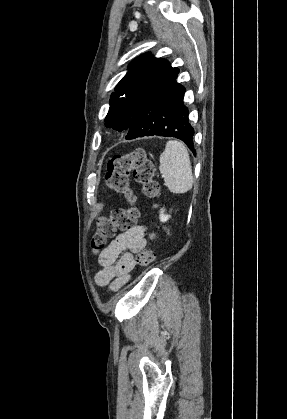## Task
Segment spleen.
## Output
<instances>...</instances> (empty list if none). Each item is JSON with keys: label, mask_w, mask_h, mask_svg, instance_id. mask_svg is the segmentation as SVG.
<instances>
[{"label": "spleen", "mask_w": 287, "mask_h": 419, "mask_svg": "<svg viewBox=\"0 0 287 419\" xmlns=\"http://www.w3.org/2000/svg\"><path fill=\"white\" fill-rule=\"evenodd\" d=\"M160 173L165 185L174 194H183L193 186L190 157L185 145L176 140L166 143L160 155Z\"/></svg>", "instance_id": "spleen-1"}]
</instances>
